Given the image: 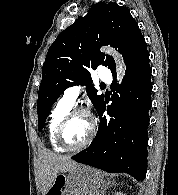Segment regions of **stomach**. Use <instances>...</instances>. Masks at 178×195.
Wrapping results in <instances>:
<instances>
[{"mask_svg":"<svg viewBox=\"0 0 178 195\" xmlns=\"http://www.w3.org/2000/svg\"><path fill=\"white\" fill-rule=\"evenodd\" d=\"M104 181V173L79 165L56 176L48 195H96Z\"/></svg>","mask_w":178,"mask_h":195,"instance_id":"stomach-1","label":"stomach"}]
</instances>
